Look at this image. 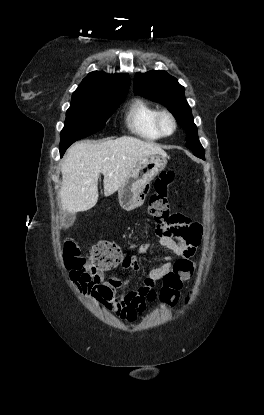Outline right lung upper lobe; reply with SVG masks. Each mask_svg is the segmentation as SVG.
<instances>
[{"label":"right lung upper lobe","instance_id":"obj_1","mask_svg":"<svg viewBox=\"0 0 264 415\" xmlns=\"http://www.w3.org/2000/svg\"><path fill=\"white\" fill-rule=\"evenodd\" d=\"M130 87L127 74H107L93 71L81 82L73 92L72 98L96 96H126Z\"/></svg>","mask_w":264,"mask_h":415}]
</instances>
